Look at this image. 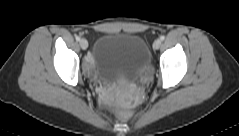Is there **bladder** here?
I'll return each instance as SVG.
<instances>
[{"label":"bladder","mask_w":239,"mask_h":136,"mask_svg":"<svg viewBox=\"0 0 239 136\" xmlns=\"http://www.w3.org/2000/svg\"><path fill=\"white\" fill-rule=\"evenodd\" d=\"M151 66L146 41L132 33L108 32L96 41L93 70L110 80L142 75Z\"/></svg>","instance_id":"1"}]
</instances>
